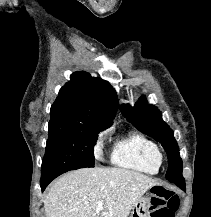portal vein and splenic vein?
Instances as JSON below:
<instances>
[{"label": "portal vein and splenic vein", "instance_id": "1", "mask_svg": "<svg viewBox=\"0 0 211 217\" xmlns=\"http://www.w3.org/2000/svg\"><path fill=\"white\" fill-rule=\"evenodd\" d=\"M103 208V202L99 201L98 206H97V211L101 210Z\"/></svg>", "mask_w": 211, "mask_h": 217}]
</instances>
